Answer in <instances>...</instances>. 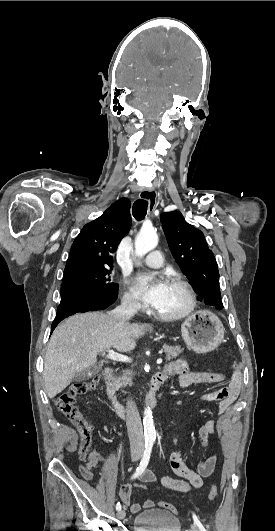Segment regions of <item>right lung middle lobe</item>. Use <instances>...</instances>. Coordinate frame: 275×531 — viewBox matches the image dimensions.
Instances as JSON below:
<instances>
[{"mask_svg": "<svg viewBox=\"0 0 275 531\" xmlns=\"http://www.w3.org/2000/svg\"><path fill=\"white\" fill-rule=\"evenodd\" d=\"M112 268H80L64 272L61 293L81 291L102 301L117 299L118 285L111 282Z\"/></svg>", "mask_w": 275, "mask_h": 531, "instance_id": "right-lung-middle-lobe-1", "label": "right lung middle lobe"}]
</instances>
